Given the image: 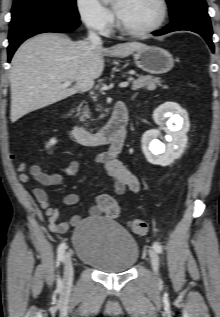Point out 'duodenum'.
Masks as SVG:
<instances>
[{
	"label": "duodenum",
	"mask_w": 220,
	"mask_h": 317,
	"mask_svg": "<svg viewBox=\"0 0 220 317\" xmlns=\"http://www.w3.org/2000/svg\"><path fill=\"white\" fill-rule=\"evenodd\" d=\"M69 114L65 113L62 120L66 122ZM127 110L123 102H118L113 110L112 117L105 128L97 132L72 124H66V131L80 144L88 147H99L111 144L121 148L127 138Z\"/></svg>",
	"instance_id": "duodenum-1"
}]
</instances>
